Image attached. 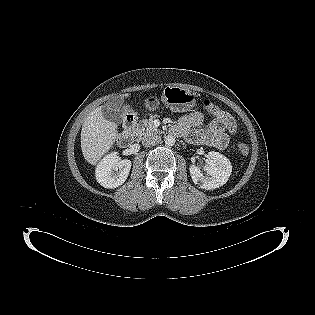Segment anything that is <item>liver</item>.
<instances>
[{
  "mask_svg": "<svg viewBox=\"0 0 315 315\" xmlns=\"http://www.w3.org/2000/svg\"><path fill=\"white\" fill-rule=\"evenodd\" d=\"M125 94L120 97L116 107L122 105ZM104 107L100 106L91 111L85 118L81 130V149L85 160L91 165H96L119 138L118 125L107 120L102 113Z\"/></svg>",
  "mask_w": 315,
  "mask_h": 315,
  "instance_id": "6515ba94",
  "label": "liver"
}]
</instances>
